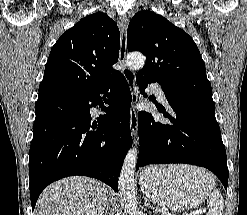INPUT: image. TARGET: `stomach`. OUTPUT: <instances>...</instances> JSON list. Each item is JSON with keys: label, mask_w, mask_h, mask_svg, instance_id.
<instances>
[{"label": "stomach", "mask_w": 247, "mask_h": 215, "mask_svg": "<svg viewBox=\"0 0 247 215\" xmlns=\"http://www.w3.org/2000/svg\"><path fill=\"white\" fill-rule=\"evenodd\" d=\"M146 197L172 211H188L203 202L214 186L203 169L185 165L149 167L140 176Z\"/></svg>", "instance_id": "obj_1"}]
</instances>
